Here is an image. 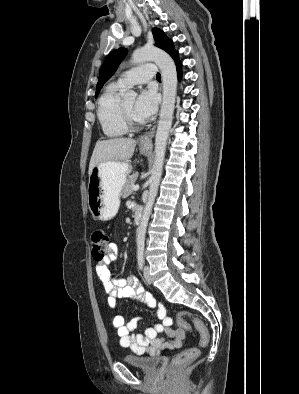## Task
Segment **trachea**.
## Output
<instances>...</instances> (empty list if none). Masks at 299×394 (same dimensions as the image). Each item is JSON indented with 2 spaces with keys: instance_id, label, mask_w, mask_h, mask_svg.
Returning a JSON list of instances; mask_svg holds the SVG:
<instances>
[{
  "instance_id": "obj_1",
  "label": "trachea",
  "mask_w": 299,
  "mask_h": 394,
  "mask_svg": "<svg viewBox=\"0 0 299 394\" xmlns=\"http://www.w3.org/2000/svg\"><path fill=\"white\" fill-rule=\"evenodd\" d=\"M156 78L161 79V75L159 73H157Z\"/></svg>"
}]
</instances>
